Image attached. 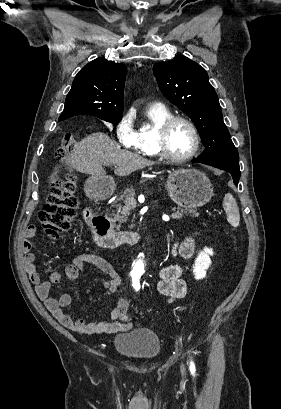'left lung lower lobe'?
<instances>
[{
    "label": "left lung lower lobe",
    "mask_w": 281,
    "mask_h": 409,
    "mask_svg": "<svg viewBox=\"0 0 281 409\" xmlns=\"http://www.w3.org/2000/svg\"><path fill=\"white\" fill-rule=\"evenodd\" d=\"M193 162L203 163L206 165H210L221 170L228 171L234 180V184L237 185L240 179V169H239V162L238 160H209V161H202L199 159H195Z\"/></svg>",
    "instance_id": "1"
}]
</instances>
